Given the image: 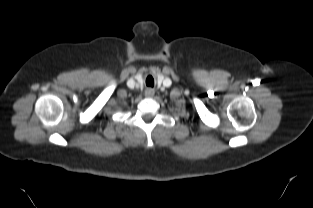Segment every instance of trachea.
<instances>
[{
	"label": "trachea",
	"mask_w": 313,
	"mask_h": 208,
	"mask_svg": "<svg viewBox=\"0 0 313 208\" xmlns=\"http://www.w3.org/2000/svg\"><path fill=\"white\" fill-rule=\"evenodd\" d=\"M146 85L149 87H153L154 86V80L151 76L147 77L146 79Z\"/></svg>",
	"instance_id": "3493384b"
}]
</instances>
